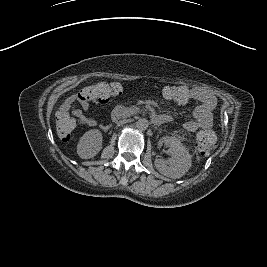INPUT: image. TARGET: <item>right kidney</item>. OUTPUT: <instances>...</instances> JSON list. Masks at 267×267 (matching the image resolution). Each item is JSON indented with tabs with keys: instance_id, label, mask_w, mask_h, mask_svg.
Masks as SVG:
<instances>
[{
	"instance_id": "obj_1",
	"label": "right kidney",
	"mask_w": 267,
	"mask_h": 267,
	"mask_svg": "<svg viewBox=\"0 0 267 267\" xmlns=\"http://www.w3.org/2000/svg\"><path fill=\"white\" fill-rule=\"evenodd\" d=\"M102 133L98 129H91L84 133L77 144V154L82 159L93 158L102 149Z\"/></svg>"
}]
</instances>
